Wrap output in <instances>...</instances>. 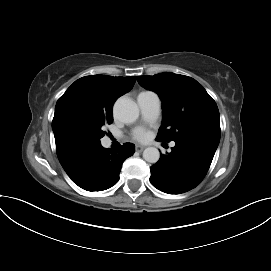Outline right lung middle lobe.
Segmentation results:
<instances>
[{
	"instance_id": "1",
	"label": "right lung middle lobe",
	"mask_w": 271,
	"mask_h": 271,
	"mask_svg": "<svg viewBox=\"0 0 271 271\" xmlns=\"http://www.w3.org/2000/svg\"><path fill=\"white\" fill-rule=\"evenodd\" d=\"M112 122V111L74 105L61 114L57 127L69 144L90 150L101 145L100 138L105 135L103 126Z\"/></svg>"
}]
</instances>
